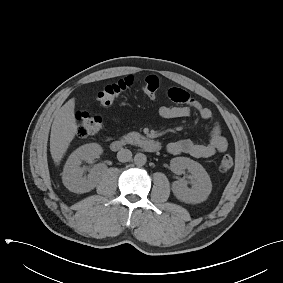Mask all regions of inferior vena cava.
Segmentation results:
<instances>
[{"label":"inferior vena cava","mask_w":283,"mask_h":283,"mask_svg":"<svg viewBox=\"0 0 283 283\" xmlns=\"http://www.w3.org/2000/svg\"><path fill=\"white\" fill-rule=\"evenodd\" d=\"M117 159L120 162H128L132 159V152L129 149H121L117 153Z\"/></svg>","instance_id":"602c4592"}]
</instances>
